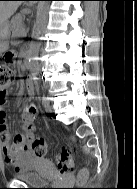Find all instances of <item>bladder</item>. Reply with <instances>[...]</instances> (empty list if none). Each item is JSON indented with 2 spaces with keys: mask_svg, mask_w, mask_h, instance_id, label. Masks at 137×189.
Instances as JSON below:
<instances>
[{
  "mask_svg": "<svg viewBox=\"0 0 137 189\" xmlns=\"http://www.w3.org/2000/svg\"><path fill=\"white\" fill-rule=\"evenodd\" d=\"M56 174L54 163L48 158H40L34 165H28L16 172V178L29 185H43Z\"/></svg>",
  "mask_w": 137,
  "mask_h": 189,
  "instance_id": "1",
  "label": "bladder"
}]
</instances>
